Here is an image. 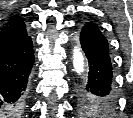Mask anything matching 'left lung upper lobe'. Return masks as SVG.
<instances>
[{
	"instance_id": "left-lung-upper-lobe-1",
	"label": "left lung upper lobe",
	"mask_w": 133,
	"mask_h": 118,
	"mask_svg": "<svg viewBox=\"0 0 133 118\" xmlns=\"http://www.w3.org/2000/svg\"><path fill=\"white\" fill-rule=\"evenodd\" d=\"M87 24L95 25L92 22H89ZM77 98L78 110L84 115L100 114L102 109H104L105 112L110 111L115 104V101H113L112 99L98 98L91 92L86 91L83 87L79 89Z\"/></svg>"
}]
</instances>
